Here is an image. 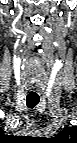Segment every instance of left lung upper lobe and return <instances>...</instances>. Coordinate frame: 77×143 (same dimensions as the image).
Masks as SVG:
<instances>
[{"label":"left lung upper lobe","instance_id":"left-lung-upper-lobe-1","mask_svg":"<svg viewBox=\"0 0 77 143\" xmlns=\"http://www.w3.org/2000/svg\"><path fill=\"white\" fill-rule=\"evenodd\" d=\"M76 127H66L64 128V130L62 132H60L58 134V138L62 139V140H75L76 138Z\"/></svg>","mask_w":77,"mask_h":143}]
</instances>
